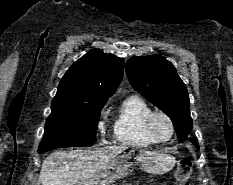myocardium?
<instances>
[{
  "instance_id": "1",
  "label": "myocardium",
  "mask_w": 233,
  "mask_h": 185,
  "mask_svg": "<svg viewBox=\"0 0 233 185\" xmlns=\"http://www.w3.org/2000/svg\"><path fill=\"white\" fill-rule=\"evenodd\" d=\"M158 117L165 118L170 125L171 135L167 139L159 138L154 130V122H155V119ZM145 128H146V132L149 135V137L152 140H154L156 143H167L170 140H172L174 135H175L174 122H173L172 118L167 113H165L163 111H153L151 114H149V116L147 117V119L145 121Z\"/></svg>"
}]
</instances>
